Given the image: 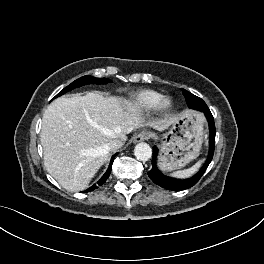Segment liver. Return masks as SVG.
Returning a JSON list of instances; mask_svg holds the SVG:
<instances>
[{"label": "liver", "instance_id": "obj_1", "mask_svg": "<svg viewBox=\"0 0 264 264\" xmlns=\"http://www.w3.org/2000/svg\"><path fill=\"white\" fill-rule=\"evenodd\" d=\"M174 118L147 125L164 130ZM138 108L128 100L85 96L59 97L45 110L40 140L48 173L69 191L85 189L108 160V143L126 141V134L143 126Z\"/></svg>", "mask_w": 264, "mask_h": 264}]
</instances>
